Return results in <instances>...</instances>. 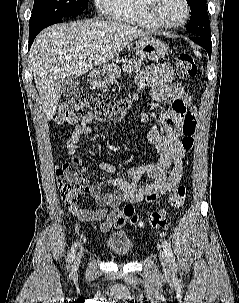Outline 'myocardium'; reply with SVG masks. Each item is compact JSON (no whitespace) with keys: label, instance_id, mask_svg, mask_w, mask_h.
<instances>
[{"label":"myocardium","instance_id":"obj_1","mask_svg":"<svg viewBox=\"0 0 239 303\" xmlns=\"http://www.w3.org/2000/svg\"><path fill=\"white\" fill-rule=\"evenodd\" d=\"M145 1L146 2H145L144 9H145L147 15L149 16L151 22L159 28L175 30V29H178V28L184 26L190 18L191 8H190V4H189L188 0H182L184 3V6H185V17L178 24H167L160 19V17L158 16V13H157L159 0H145Z\"/></svg>","mask_w":239,"mask_h":303}]
</instances>
